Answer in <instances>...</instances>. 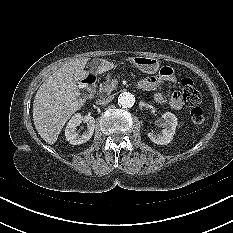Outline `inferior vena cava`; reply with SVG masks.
<instances>
[{
    "instance_id": "inferior-vena-cava-1",
    "label": "inferior vena cava",
    "mask_w": 233,
    "mask_h": 233,
    "mask_svg": "<svg viewBox=\"0 0 233 233\" xmlns=\"http://www.w3.org/2000/svg\"><path fill=\"white\" fill-rule=\"evenodd\" d=\"M112 100L111 97H101L99 100H97V103L100 105H106L108 103H110Z\"/></svg>"
}]
</instances>
